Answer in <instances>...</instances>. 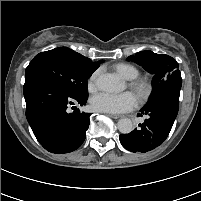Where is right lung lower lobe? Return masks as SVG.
<instances>
[{"instance_id":"right-lung-lower-lobe-1","label":"right lung lower lobe","mask_w":201,"mask_h":201,"mask_svg":"<svg viewBox=\"0 0 201 201\" xmlns=\"http://www.w3.org/2000/svg\"><path fill=\"white\" fill-rule=\"evenodd\" d=\"M26 118L40 144L56 154L76 150L84 142L89 113L79 109L68 113V106L86 100L73 98L59 84L39 76L25 79ZM76 109V108H75Z\"/></svg>"}]
</instances>
